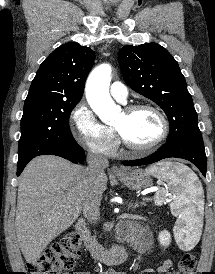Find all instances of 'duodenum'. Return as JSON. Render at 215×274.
<instances>
[{
    "mask_svg": "<svg viewBox=\"0 0 215 274\" xmlns=\"http://www.w3.org/2000/svg\"><path fill=\"white\" fill-rule=\"evenodd\" d=\"M76 230L84 244V247L91 256L107 265H119L124 263L129 256V252L123 245H115L110 249L103 247L90 234L84 219H79L76 223Z\"/></svg>",
    "mask_w": 215,
    "mask_h": 274,
    "instance_id": "410a0bca",
    "label": "duodenum"
}]
</instances>
